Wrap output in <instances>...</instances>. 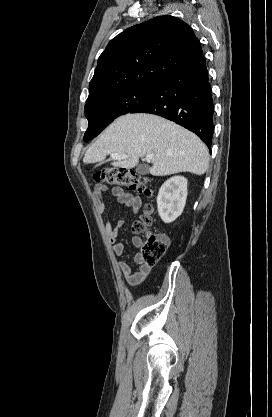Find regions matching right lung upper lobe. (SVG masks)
<instances>
[{"mask_svg":"<svg viewBox=\"0 0 272 417\" xmlns=\"http://www.w3.org/2000/svg\"><path fill=\"white\" fill-rule=\"evenodd\" d=\"M202 54L191 27L176 17L158 16L132 26L100 55L86 103L122 89L160 84Z\"/></svg>","mask_w":272,"mask_h":417,"instance_id":"right-lung-upper-lobe-1","label":"right lung upper lobe"}]
</instances>
